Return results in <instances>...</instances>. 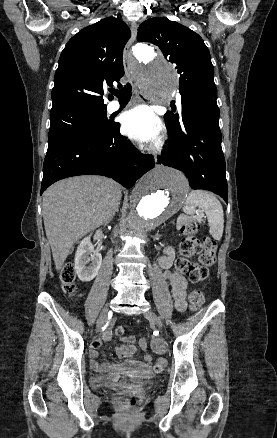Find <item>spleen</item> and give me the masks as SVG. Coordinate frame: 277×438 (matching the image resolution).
Returning a JSON list of instances; mask_svg holds the SVG:
<instances>
[{"mask_svg": "<svg viewBox=\"0 0 277 438\" xmlns=\"http://www.w3.org/2000/svg\"><path fill=\"white\" fill-rule=\"evenodd\" d=\"M196 208L204 210L209 222V232L214 240H221L224 228V214L219 200L210 192H205V190H193L188 194L186 204L183 206V212L193 216Z\"/></svg>", "mask_w": 277, "mask_h": 438, "instance_id": "3e777b00", "label": "spleen"}]
</instances>
